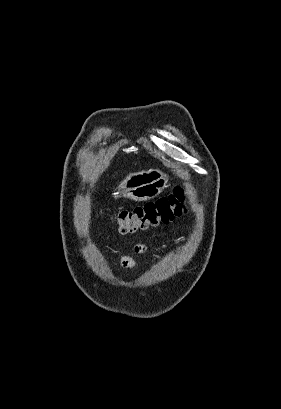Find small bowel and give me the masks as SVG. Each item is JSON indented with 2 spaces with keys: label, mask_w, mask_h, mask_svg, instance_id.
<instances>
[{
  "label": "small bowel",
  "mask_w": 281,
  "mask_h": 409,
  "mask_svg": "<svg viewBox=\"0 0 281 409\" xmlns=\"http://www.w3.org/2000/svg\"><path fill=\"white\" fill-rule=\"evenodd\" d=\"M144 249H145V248H144V246H142V245H137V246L135 247V250H136L137 252H143ZM120 262H121V265H122L124 268H127V269L135 268L136 265H137L136 261H135L132 257H130V256H128V255H122L121 258H120Z\"/></svg>",
  "instance_id": "c3829d8e"
}]
</instances>
